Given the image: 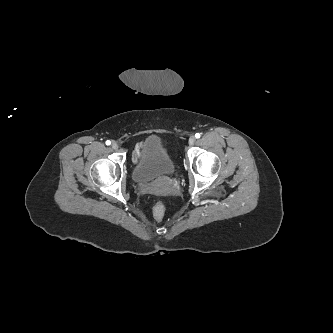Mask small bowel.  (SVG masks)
<instances>
[{"mask_svg": "<svg viewBox=\"0 0 333 333\" xmlns=\"http://www.w3.org/2000/svg\"><path fill=\"white\" fill-rule=\"evenodd\" d=\"M141 155V145L138 144L132 154V158L134 161H137L140 158Z\"/></svg>", "mask_w": 333, "mask_h": 333, "instance_id": "small-bowel-1", "label": "small bowel"}]
</instances>
